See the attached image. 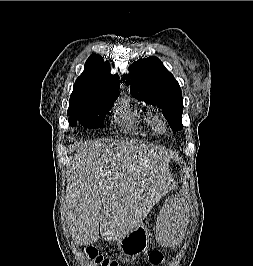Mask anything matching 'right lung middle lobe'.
<instances>
[{
	"instance_id": "1",
	"label": "right lung middle lobe",
	"mask_w": 253,
	"mask_h": 266,
	"mask_svg": "<svg viewBox=\"0 0 253 266\" xmlns=\"http://www.w3.org/2000/svg\"><path fill=\"white\" fill-rule=\"evenodd\" d=\"M117 97L86 104L70 105L68 109V115H70L69 124L76 126L77 123H80L90 129L103 127L106 114L110 111Z\"/></svg>"
}]
</instances>
